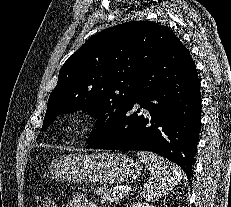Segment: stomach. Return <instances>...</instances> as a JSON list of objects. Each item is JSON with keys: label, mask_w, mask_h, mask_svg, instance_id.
<instances>
[{"label": "stomach", "mask_w": 231, "mask_h": 207, "mask_svg": "<svg viewBox=\"0 0 231 207\" xmlns=\"http://www.w3.org/2000/svg\"><path fill=\"white\" fill-rule=\"evenodd\" d=\"M141 165L120 153L97 154L74 153L53 161L51 173L54 178L75 183L94 182L119 184L136 179L141 174Z\"/></svg>", "instance_id": "stomach-1"}]
</instances>
